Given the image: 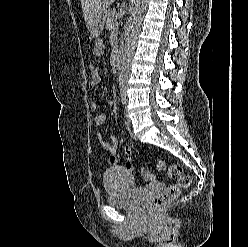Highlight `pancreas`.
Wrapping results in <instances>:
<instances>
[{
	"label": "pancreas",
	"mask_w": 248,
	"mask_h": 247,
	"mask_svg": "<svg viewBox=\"0 0 248 247\" xmlns=\"http://www.w3.org/2000/svg\"><path fill=\"white\" fill-rule=\"evenodd\" d=\"M105 22H106V28L110 31H113L118 28V24L116 22V11L115 10H109L105 13Z\"/></svg>",
	"instance_id": "pancreas-1"
}]
</instances>
